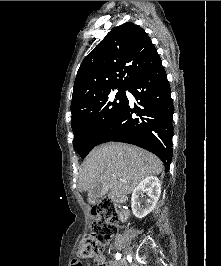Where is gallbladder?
Returning a JSON list of instances; mask_svg holds the SVG:
<instances>
[{
  "label": "gallbladder",
  "mask_w": 221,
  "mask_h": 266,
  "mask_svg": "<svg viewBox=\"0 0 221 266\" xmlns=\"http://www.w3.org/2000/svg\"><path fill=\"white\" fill-rule=\"evenodd\" d=\"M105 194H106V191L103 189L102 184H98L94 188L90 189L88 192V196L93 200H97V199L103 197V195H105Z\"/></svg>",
  "instance_id": "gallbladder-1"
}]
</instances>
